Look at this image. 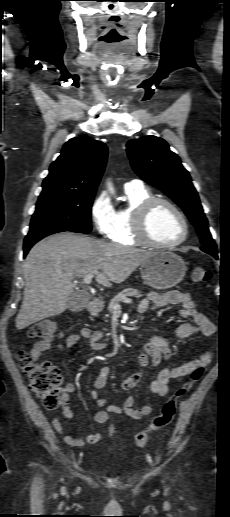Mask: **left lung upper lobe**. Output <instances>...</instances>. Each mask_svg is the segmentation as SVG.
Wrapping results in <instances>:
<instances>
[{
  "label": "left lung upper lobe",
  "instance_id": "5c2ea615",
  "mask_svg": "<svg viewBox=\"0 0 230 517\" xmlns=\"http://www.w3.org/2000/svg\"><path fill=\"white\" fill-rule=\"evenodd\" d=\"M127 153L136 174L183 209L200 237L203 244L201 250L216 257V244L189 172L169 149L167 142L156 136L133 139L127 143Z\"/></svg>",
  "mask_w": 230,
  "mask_h": 517
}]
</instances>
